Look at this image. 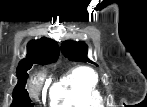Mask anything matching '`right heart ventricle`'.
<instances>
[{
	"instance_id": "obj_1",
	"label": "right heart ventricle",
	"mask_w": 147,
	"mask_h": 107,
	"mask_svg": "<svg viewBox=\"0 0 147 107\" xmlns=\"http://www.w3.org/2000/svg\"><path fill=\"white\" fill-rule=\"evenodd\" d=\"M52 103L58 107H99V77L90 67L72 69L51 90Z\"/></svg>"
}]
</instances>
